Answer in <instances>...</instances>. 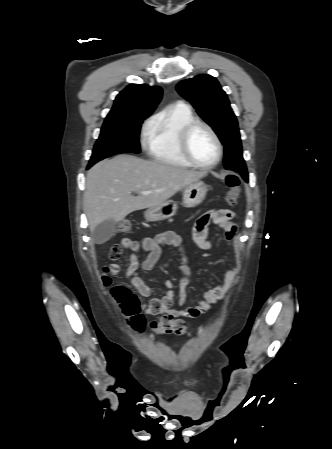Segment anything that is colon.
<instances>
[{
	"label": "colon",
	"instance_id": "colon-1",
	"mask_svg": "<svg viewBox=\"0 0 332 449\" xmlns=\"http://www.w3.org/2000/svg\"><path fill=\"white\" fill-rule=\"evenodd\" d=\"M225 184L228 188L224 199L229 206H235L240 197V182L236 175L228 174L225 178ZM132 230V223L129 220H124L120 223L118 231L121 233H130ZM125 243L121 241L115 244L109 251V259L119 260L123 254ZM112 294L117 302L122 306L125 314L130 318L132 327L137 331H142L145 322L140 313V306L137 297L124 286H115L112 289ZM152 329L160 335H184L188 334V328L183 320L174 318L171 315L165 314L159 319L151 322Z\"/></svg>",
	"mask_w": 332,
	"mask_h": 449
}]
</instances>
